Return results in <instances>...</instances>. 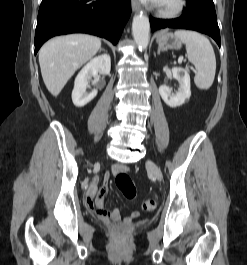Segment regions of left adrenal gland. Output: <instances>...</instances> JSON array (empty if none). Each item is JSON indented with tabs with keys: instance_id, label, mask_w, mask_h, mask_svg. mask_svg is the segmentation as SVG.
<instances>
[{
	"instance_id": "1",
	"label": "left adrenal gland",
	"mask_w": 247,
	"mask_h": 265,
	"mask_svg": "<svg viewBox=\"0 0 247 265\" xmlns=\"http://www.w3.org/2000/svg\"><path fill=\"white\" fill-rule=\"evenodd\" d=\"M160 52H161V48L159 47L158 51H157V54L160 55Z\"/></svg>"
}]
</instances>
